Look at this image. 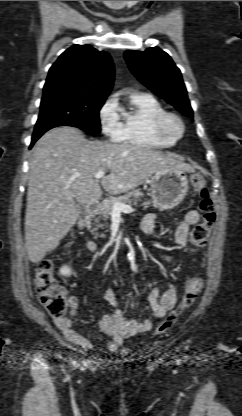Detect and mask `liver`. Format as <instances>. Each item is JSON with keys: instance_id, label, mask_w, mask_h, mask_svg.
<instances>
[{"instance_id": "liver-1", "label": "liver", "mask_w": 242, "mask_h": 416, "mask_svg": "<svg viewBox=\"0 0 242 416\" xmlns=\"http://www.w3.org/2000/svg\"><path fill=\"white\" fill-rule=\"evenodd\" d=\"M172 168L193 172L182 161L152 148L87 140L69 126L54 128L36 143L30 161L25 216L29 260L40 262L55 249L79 218L76 201L90 205L103 189L120 194L146 182L157 171Z\"/></svg>"}]
</instances>
